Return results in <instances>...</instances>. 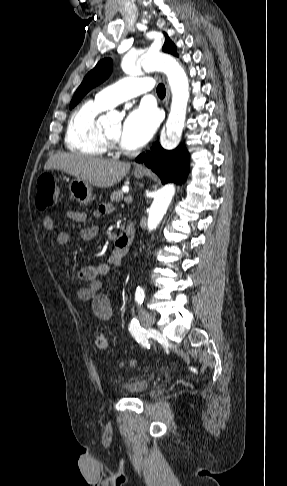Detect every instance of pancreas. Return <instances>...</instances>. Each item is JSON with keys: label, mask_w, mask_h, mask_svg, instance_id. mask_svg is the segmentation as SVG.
I'll return each mask as SVG.
<instances>
[{"label": "pancreas", "mask_w": 287, "mask_h": 486, "mask_svg": "<svg viewBox=\"0 0 287 486\" xmlns=\"http://www.w3.org/2000/svg\"><path fill=\"white\" fill-rule=\"evenodd\" d=\"M122 198L123 192L121 190L114 191L110 196L112 202H120Z\"/></svg>", "instance_id": "cf45deb5"}]
</instances>
